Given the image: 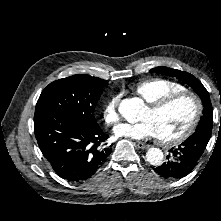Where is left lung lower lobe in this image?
<instances>
[{
    "label": "left lung lower lobe",
    "instance_id": "left-lung-lower-lobe-1",
    "mask_svg": "<svg viewBox=\"0 0 221 221\" xmlns=\"http://www.w3.org/2000/svg\"><path fill=\"white\" fill-rule=\"evenodd\" d=\"M211 133H194L177 148H172L168 161L154 170L164 178L180 179L187 176L197 165Z\"/></svg>",
    "mask_w": 221,
    "mask_h": 221
}]
</instances>
